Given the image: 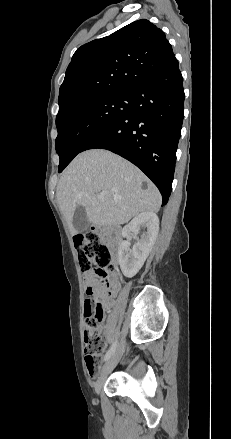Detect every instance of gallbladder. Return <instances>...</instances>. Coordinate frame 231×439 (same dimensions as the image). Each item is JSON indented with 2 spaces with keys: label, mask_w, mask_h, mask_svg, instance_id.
Masks as SVG:
<instances>
[{
  "label": "gallbladder",
  "mask_w": 231,
  "mask_h": 439,
  "mask_svg": "<svg viewBox=\"0 0 231 439\" xmlns=\"http://www.w3.org/2000/svg\"><path fill=\"white\" fill-rule=\"evenodd\" d=\"M73 225L78 231H84L88 226V219L85 208L78 206L73 216Z\"/></svg>",
  "instance_id": "obj_1"
}]
</instances>
